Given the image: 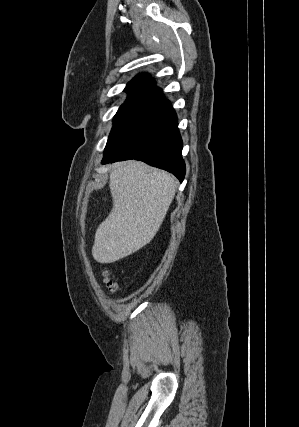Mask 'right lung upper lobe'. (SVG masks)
<instances>
[{
    "label": "right lung upper lobe",
    "instance_id": "1",
    "mask_svg": "<svg viewBox=\"0 0 299 427\" xmlns=\"http://www.w3.org/2000/svg\"><path fill=\"white\" fill-rule=\"evenodd\" d=\"M125 91L128 92L127 100H137L157 103L164 99L162 90L155 85V82L147 73L136 76L127 84Z\"/></svg>",
    "mask_w": 299,
    "mask_h": 427
}]
</instances>
